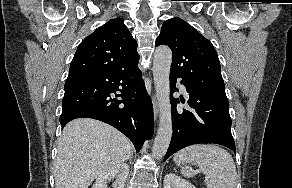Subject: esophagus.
I'll return each instance as SVG.
<instances>
[{"label":"esophagus","mask_w":292,"mask_h":188,"mask_svg":"<svg viewBox=\"0 0 292 188\" xmlns=\"http://www.w3.org/2000/svg\"><path fill=\"white\" fill-rule=\"evenodd\" d=\"M152 101H153V108H154V117H155V120H157L159 109H158V103L156 101L155 96H153Z\"/></svg>","instance_id":"esophagus-1"}]
</instances>
